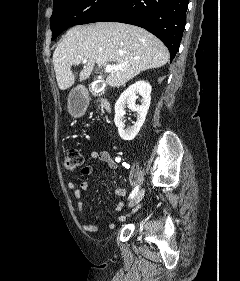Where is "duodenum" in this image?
<instances>
[{"label": "duodenum", "mask_w": 240, "mask_h": 281, "mask_svg": "<svg viewBox=\"0 0 240 281\" xmlns=\"http://www.w3.org/2000/svg\"><path fill=\"white\" fill-rule=\"evenodd\" d=\"M101 104L105 109L109 110V103L106 100H101Z\"/></svg>", "instance_id": "obj_1"}]
</instances>
